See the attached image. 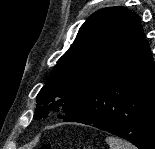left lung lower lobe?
<instances>
[{
  "label": "left lung lower lobe",
  "instance_id": "obj_1",
  "mask_svg": "<svg viewBox=\"0 0 155 149\" xmlns=\"http://www.w3.org/2000/svg\"><path fill=\"white\" fill-rule=\"evenodd\" d=\"M155 149V63L139 22L105 74L64 119Z\"/></svg>",
  "mask_w": 155,
  "mask_h": 149
}]
</instances>
